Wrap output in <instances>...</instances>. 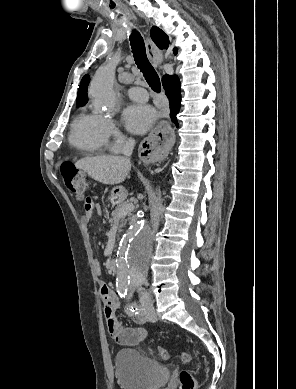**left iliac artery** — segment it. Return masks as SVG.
Listing matches in <instances>:
<instances>
[{
    "instance_id": "obj_1",
    "label": "left iliac artery",
    "mask_w": 296,
    "mask_h": 389,
    "mask_svg": "<svg viewBox=\"0 0 296 389\" xmlns=\"http://www.w3.org/2000/svg\"><path fill=\"white\" fill-rule=\"evenodd\" d=\"M128 313H129V315L132 316L135 320H142L141 311H140V309L138 308V306H136L135 304L130 305Z\"/></svg>"
}]
</instances>
